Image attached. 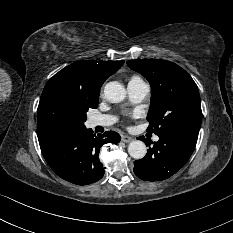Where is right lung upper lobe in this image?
Masks as SVG:
<instances>
[{"mask_svg":"<svg viewBox=\"0 0 233 233\" xmlns=\"http://www.w3.org/2000/svg\"><path fill=\"white\" fill-rule=\"evenodd\" d=\"M123 63V61H78L59 71L47 84L61 83L86 96H97L104 81Z\"/></svg>","mask_w":233,"mask_h":233,"instance_id":"obj_1","label":"right lung upper lobe"}]
</instances>
